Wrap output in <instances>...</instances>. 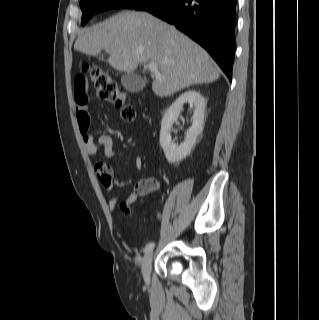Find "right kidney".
Here are the masks:
<instances>
[{"label":"right kidney","mask_w":319,"mask_h":320,"mask_svg":"<svg viewBox=\"0 0 319 320\" xmlns=\"http://www.w3.org/2000/svg\"><path fill=\"white\" fill-rule=\"evenodd\" d=\"M193 108L192 125L187 131L186 139L180 145H176L171 139V126L178 119L184 104ZM206 100L195 90H189L181 94L166 110L160 131V145L170 163H179L190 154L196 143L197 137L204 127Z\"/></svg>","instance_id":"right-kidney-1"}]
</instances>
